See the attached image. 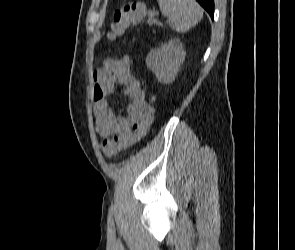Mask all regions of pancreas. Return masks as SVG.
<instances>
[{"label":"pancreas","instance_id":"obj_1","mask_svg":"<svg viewBox=\"0 0 295 250\" xmlns=\"http://www.w3.org/2000/svg\"><path fill=\"white\" fill-rule=\"evenodd\" d=\"M155 15H156V13L153 12V11H149L148 12V21H147V24H149V25L158 24V21L154 18Z\"/></svg>","mask_w":295,"mask_h":250}]
</instances>
